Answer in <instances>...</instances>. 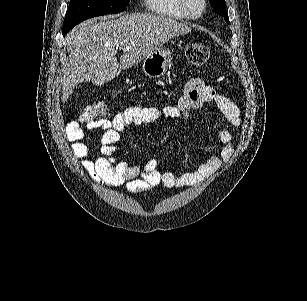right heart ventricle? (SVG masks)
Listing matches in <instances>:
<instances>
[{"mask_svg": "<svg viewBox=\"0 0 307 301\" xmlns=\"http://www.w3.org/2000/svg\"><path fill=\"white\" fill-rule=\"evenodd\" d=\"M151 13H157L158 17H183V10L176 9L177 0H149Z\"/></svg>", "mask_w": 307, "mask_h": 301, "instance_id": "1", "label": "right heart ventricle"}]
</instances>
